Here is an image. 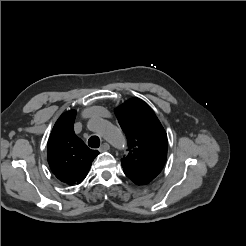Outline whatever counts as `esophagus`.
Wrapping results in <instances>:
<instances>
[{
  "label": "esophagus",
  "mask_w": 246,
  "mask_h": 246,
  "mask_svg": "<svg viewBox=\"0 0 246 246\" xmlns=\"http://www.w3.org/2000/svg\"><path fill=\"white\" fill-rule=\"evenodd\" d=\"M109 149H110V145L106 142L103 143L99 148L100 151H108Z\"/></svg>",
  "instance_id": "34e87169"
}]
</instances>
